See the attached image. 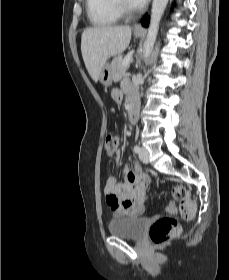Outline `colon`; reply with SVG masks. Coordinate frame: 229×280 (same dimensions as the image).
I'll list each match as a JSON object with an SVG mask.
<instances>
[{"instance_id":"colon-1","label":"colon","mask_w":229,"mask_h":280,"mask_svg":"<svg viewBox=\"0 0 229 280\" xmlns=\"http://www.w3.org/2000/svg\"><path fill=\"white\" fill-rule=\"evenodd\" d=\"M118 137L107 135L104 142V152L106 156L111 157L116 149ZM145 180L146 178L143 177ZM173 196L179 201V211L183 218L192 219L198 212L196 201L190 197L188 189L177 185L173 188ZM181 231L180 223L173 217L158 218L151 226L149 231L150 239L157 245L164 244L170 238L178 235Z\"/></svg>"}]
</instances>
